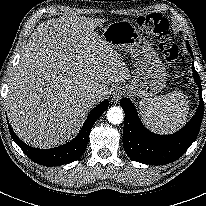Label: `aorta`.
Instances as JSON below:
<instances>
[{
    "label": "aorta",
    "mask_w": 206,
    "mask_h": 206,
    "mask_svg": "<svg viewBox=\"0 0 206 206\" xmlns=\"http://www.w3.org/2000/svg\"><path fill=\"white\" fill-rule=\"evenodd\" d=\"M107 119L110 123L112 124H120L123 119H124V113L122 108L120 107H111L108 111H107Z\"/></svg>",
    "instance_id": "762f6f07"
}]
</instances>
